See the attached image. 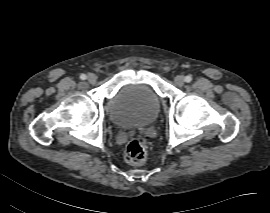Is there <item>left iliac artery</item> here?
Here are the masks:
<instances>
[{"label":"left iliac artery","mask_w":270,"mask_h":213,"mask_svg":"<svg viewBox=\"0 0 270 213\" xmlns=\"http://www.w3.org/2000/svg\"><path fill=\"white\" fill-rule=\"evenodd\" d=\"M184 80H185V82L189 83V82L192 81V77L188 75V76L185 77Z\"/></svg>","instance_id":"left-iliac-artery-1"}]
</instances>
